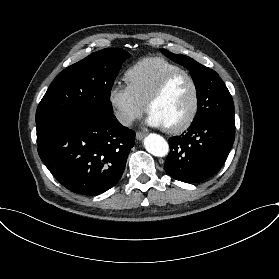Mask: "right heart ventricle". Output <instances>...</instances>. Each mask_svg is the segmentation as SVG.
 Instances as JSON below:
<instances>
[{"instance_id": "1", "label": "right heart ventricle", "mask_w": 279, "mask_h": 279, "mask_svg": "<svg viewBox=\"0 0 279 279\" xmlns=\"http://www.w3.org/2000/svg\"><path fill=\"white\" fill-rule=\"evenodd\" d=\"M184 68L163 57H146L135 63L126 73L128 85L145 102L169 74Z\"/></svg>"}]
</instances>
